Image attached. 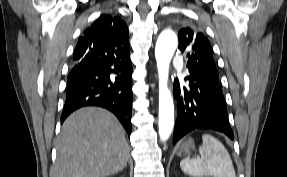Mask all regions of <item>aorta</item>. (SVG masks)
<instances>
[{"label":"aorta","mask_w":287,"mask_h":177,"mask_svg":"<svg viewBox=\"0 0 287 177\" xmlns=\"http://www.w3.org/2000/svg\"><path fill=\"white\" fill-rule=\"evenodd\" d=\"M178 45L176 34L164 30L155 46V58L159 76V137L161 141L169 139L174 128V103L168 88L169 66Z\"/></svg>","instance_id":"aorta-1"}]
</instances>
